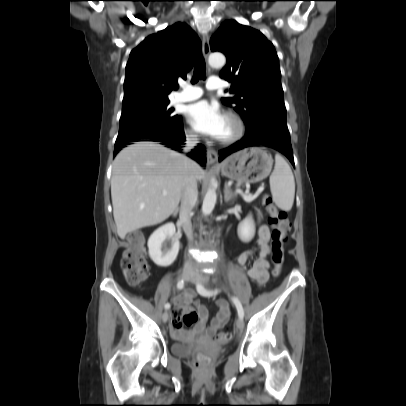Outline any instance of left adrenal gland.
I'll return each instance as SVG.
<instances>
[{
    "label": "left adrenal gland",
    "mask_w": 406,
    "mask_h": 406,
    "mask_svg": "<svg viewBox=\"0 0 406 406\" xmlns=\"http://www.w3.org/2000/svg\"><path fill=\"white\" fill-rule=\"evenodd\" d=\"M236 196H237V194L234 193L230 189V187H229V185L227 183H225V186H224V201L226 203H228V202L234 200L236 198Z\"/></svg>",
    "instance_id": "left-adrenal-gland-1"
}]
</instances>
